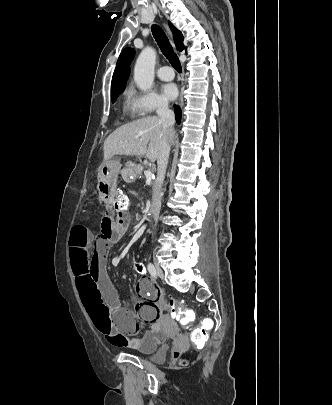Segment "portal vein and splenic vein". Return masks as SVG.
<instances>
[{
  "instance_id": "obj_1",
  "label": "portal vein and splenic vein",
  "mask_w": 332,
  "mask_h": 405,
  "mask_svg": "<svg viewBox=\"0 0 332 405\" xmlns=\"http://www.w3.org/2000/svg\"><path fill=\"white\" fill-rule=\"evenodd\" d=\"M144 174H145V176H146V179H147V180H150V179H151V177H152V171H151V168H149V169L145 170V171H144Z\"/></svg>"
}]
</instances>
